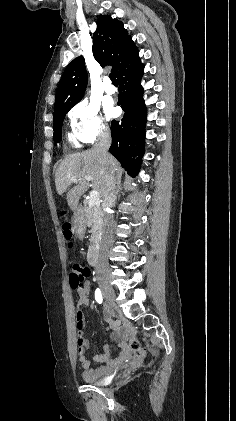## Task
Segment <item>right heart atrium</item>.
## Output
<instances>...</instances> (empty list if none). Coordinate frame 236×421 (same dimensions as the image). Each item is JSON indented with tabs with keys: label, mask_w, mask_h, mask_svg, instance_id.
I'll use <instances>...</instances> for the list:
<instances>
[{
	"label": "right heart atrium",
	"mask_w": 236,
	"mask_h": 421,
	"mask_svg": "<svg viewBox=\"0 0 236 421\" xmlns=\"http://www.w3.org/2000/svg\"><path fill=\"white\" fill-rule=\"evenodd\" d=\"M73 133L79 141L92 144L106 137L110 130L98 104L83 100L69 113Z\"/></svg>",
	"instance_id": "d8ad5b80"
}]
</instances>
